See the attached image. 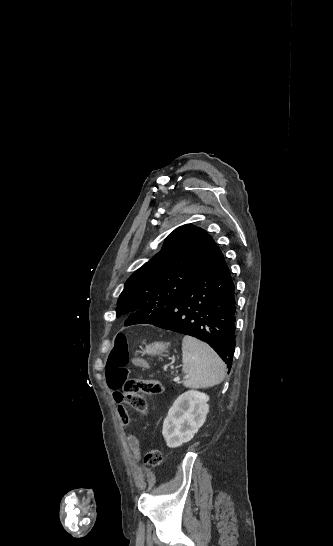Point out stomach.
<instances>
[{
	"label": "stomach",
	"instance_id": "stomach-1",
	"mask_svg": "<svg viewBox=\"0 0 333 546\" xmlns=\"http://www.w3.org/2000/svg\"><path fill=\"white\" fill-rule=\"evenodd\" d=\"M168 348V344L162 343V342H155L151 345H147L145 349V353L151 354V355H159L162 354L164 351H166Z\"/></svg>",
	"mask_w": 333,
	"mask_h": 546
}]
</instances>
